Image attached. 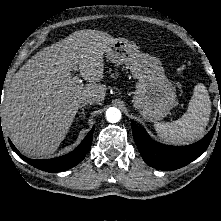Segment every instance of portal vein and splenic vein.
I'll return each instance as SVG.
<instances>
[{
    "mask_svg": "<svg viewBox=\"0 0 221 221\" xmlns=\"http://www.w3.org/2000/svg\"><path fill=\"white\" fill-rule=\"evenodd\" d=\"M73 81L77 83L79 81V78L77 76H75V77H73Z\"/></svg>",
    "mask_w": 221,
    "mask_h": 221,
    "instance_id": "18ae733b",
    "label": "portal vein and splenic vein"
}]
</instances>
